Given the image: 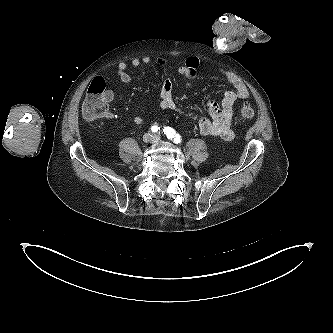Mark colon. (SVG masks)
<instances>
[{"mask_svg": "<svg viewBox=\"0 0 333 333\" xmlns=\"http://www.w3.org/2000/svg\"><path fill=\"white\" fill-rule=\"evenodd\" d=\"M106 84L103 78H95L87 91L86 97L83 102V116L89 120L94 121L99 118L105 117L108 112V103L105 99ZM255 116L253 108L245 104L239 111V119L242 122H249Z\"/></svg>", "mask_w": 333, "mask_h": 333, "instance_id": "obj_1", "label": "colon"}]
</instances>
